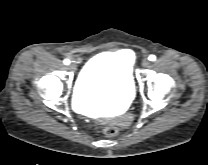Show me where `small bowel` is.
<instances>
[{"label":"small bowel","instance_id":"c3829d8e","mask_svg":"<svg viewBox=\"0 0 208 165\" xmlns=\"http://www.w3.org/2000/svg\"><path fill=\"white\" fill-rule=\"evenodd\" d=\"M123 57L124 62H126L128 64L129 61L132 60V55L129 51L127 50H120L119 51Z\"/></svg>","mask_w":208,"mask_h":165}]
</instances>
